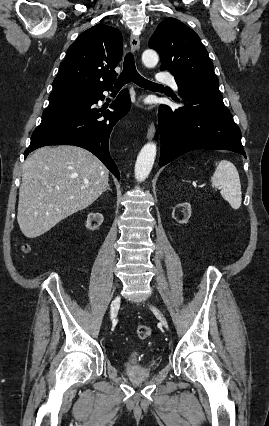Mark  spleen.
I'll list each match as a JSON object with an SVG mask.
<instances>
[{
    "label": "spleen",
    "mask_w": 269,
    "mask_h": 426,
    "mask_svg": "<svg viewBox=\"0 0 269 426\" xmlns=\"http://www.w3.org/2000/svg\"><path fill=\"white\" fill-rule=\"evenodd\" d=\"M212 186L221 188L222 197L233 209H238L242 202L241 183L237 168L227 160L216 162V169L211 177Z\"/></svg>",
    "instance_id": "spleen-1"
}]
</instances>
